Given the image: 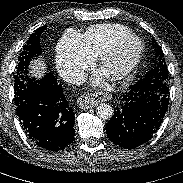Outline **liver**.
I'll return each mask as SVG.
<instances>
[{
    "label": "liver",
    "instance_id": "liver-1",
    "mask_svg": "<svg viewBox=\"0 0 183 183\" xmlns=\"http://www.w3.org/2000/svg\"><path fill=\"white\" fill-rule=\"evenodd\" d=\"M32 64H33V66L31 67L32 75L39 78L42 77L43 74L45 73L46 66L42 65V61H39V59L34 60Z\"/></svg>",
    "mask_w": 183,
    "mask_h": 183
}]
</instances>
